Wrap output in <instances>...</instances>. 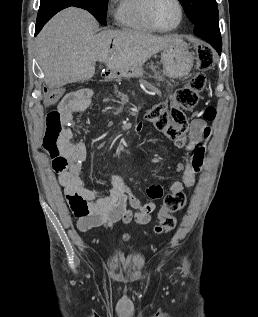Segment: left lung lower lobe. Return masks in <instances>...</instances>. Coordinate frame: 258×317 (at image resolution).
<instances>
[{"instance_id":"obj_1","label":"left lung lower lobe","mask_w":258,"mask_h":317,"mask_svg":"<svg viewBox=\"0 0 258 317\" xmlns=\"http://www.w3.org/2000/svg\"><path fill=\"white\" fill-rule=\"evenodd\" d=\"M194 33L196 36L206 40L220 55L222 51V42L219 28L205 26L195 27Z\"/></svg>"}]
</instances>
